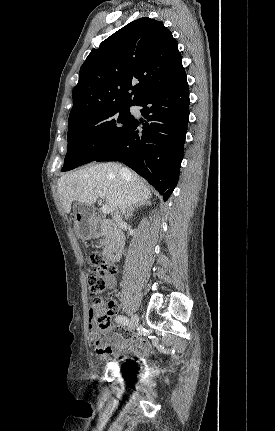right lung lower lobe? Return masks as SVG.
Here are the masks:
<instances>
[{
  "mask_svg": "<svg viewBox=\"0 0 275 431\" xmlns=\"http://www.w3.org/2000/svg\"><path fill=\"white\" fill-rule=\"evenodd\" d=\"M185 70L167 85L144 97L137 106L145 123L134 119L118 140L96 161H121L144 177L167 200L174 190L183 159L189 120ZM142 131H139V128Z\"/></svg>",
  "mask_w": 275,
  "mask_h": 431,
  "instance_id": "obj_1",
  "label": "right lung lower lobe"
}]
</instances>
